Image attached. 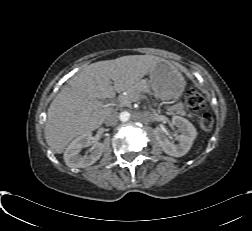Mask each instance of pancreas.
<instances>
[{"mask_svg": "<svg viewBox=\"0 0 252 231\" xmlns=\"http://www.w3.org/2000/svg\"><path fill=\"white\" fill-rule=\"evenodd\" d=\"M131 102H132V97L131 96H120L119 97V105L121 107H123V106H129L131 104ZM181 115L185 116L187 114H186L185 111H182Z\"/></svg>", "mask_w": 252, "mask_h": 231, "instance_id": "obj_1", "label": "pancreas"}]
</instances>
